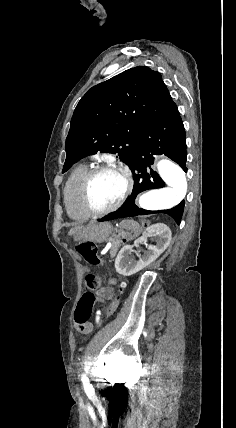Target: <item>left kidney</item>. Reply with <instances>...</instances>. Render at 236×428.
<instances>
[{"mask_svg":"<svg viewBox=\"0 0 236 428\" xmlns=\"http://www.w3.org/2000/svg\"><path fill=\"white\" fill-rule=\"evenodd\" d=\"M151 236L156 238V246H148L143 254H139V250H133L134 246L135 248H139V244L147 242V238H151ZM171 236L170 228H167L165 224H153V226H149V228H146L145 232H143L141 238L135 240L133 246H123V248H121L115 260L116 272L122 274V276H132V274L140 272V270L149 266L151 262L157 260L158 256L168 248ZM132 252L137 254L138 260H134Z\"/></svg>","mask_w":236,"mask_h":428,"instance_id":"5707ae66","label":"left kidney"}]
</instances>
